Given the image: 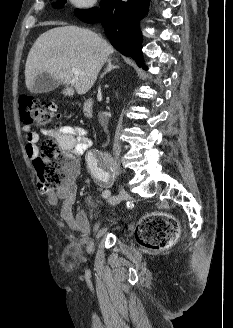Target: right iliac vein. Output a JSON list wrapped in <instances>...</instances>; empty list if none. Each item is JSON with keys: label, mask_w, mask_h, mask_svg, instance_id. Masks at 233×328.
<instances>
[{"label": "right iliac vein", "mask_w": 233, "mask_h": 328, "mask_svg": "<svg viewBox=\"0 0 233 328\" xmlns=\"http://www.w3.org/2000/svg\"><path fill=\"white\" fill-rule=\"evenodd\" d=\"M105 157H106L107 161L109 162V164L111 165V170H112V173H113V177L115 179H118L119 176H120V174H121V170H120V167H119L118 162L108 152L105 153ZM118 187H119V189H118V195L112 196L108 200V205L109 206H115L116 204H118L120 201H122L126 197V192L123 189L122 185L119 184ZM99 226H100V223L97 222L95 224V226H94V235L98 231ZM87 251H88L89 254H91L94 251V242H93V240H91L89 242V244L87 246Z\"/></svg>", "instance_id": "63e3f726"}]
</instances>
